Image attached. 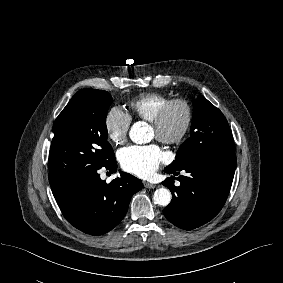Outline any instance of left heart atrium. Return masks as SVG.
<instances>
[{
    "mask_svg": "<svg viewBox=\"0 0 283 283\" xmlns=\"http://www.w3.org/2000/svg\"><path fill=\"white\" fill-rule=\"evenodd\" d=\"M164 158V152L156 144L134 145L119 152V161L122 168L142 178L150 176L157 170Z\"/></svg>",
    "mask_w": 283,
    "mask_h": 283,
    "instance_id": "left-heart-atrium-1",
    "label": "left heart atrium"
}]
</instances>
